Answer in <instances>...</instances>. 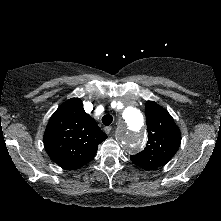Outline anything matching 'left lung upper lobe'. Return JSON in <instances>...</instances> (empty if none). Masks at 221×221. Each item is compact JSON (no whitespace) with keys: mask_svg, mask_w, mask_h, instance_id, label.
Returning a JSON list of instances; mask_svg holds the SVG:
<instances>
[{"mask_svg":"<svg viewBox=\"0 0 221 221\" xmlns=\"http://www.w3.org/2000/svg\"><path fill=\"white\" fill-rule=\"evenodd\" d=\"M148 131L147 145L143 151L130 159L139 167L151 170L162 166L177 152L181 134L172 116L154 101L145 104Z\"/></svg>","mask_w":221,"mask_h":221,"instance_id":"left-lung-upper-lobe-1","label":"left lung upper lobe"}]
</instances>
